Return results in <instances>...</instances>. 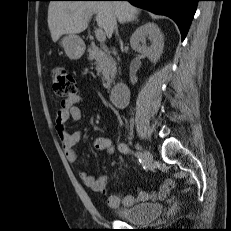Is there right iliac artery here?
<instances>
[{"mask_svg": "<svg viewBox=\"0 0 231 231\" xmlns=\"http://www.w3.org/2000/svg\"><path fill=\"white\" fill-rule=\"evenodd\" d=\"M118 149H119V151H120L121 153H124V154H129V153H131V150H130L129 146H128L127 144H125V143H120V144L118 145ZM136 155H137V157H141L140 152H139V153L137 152ZM146 168H147V166L144 167V169H146Z\"/></svg>", "mask_w": 231, "mask_h": 231, "instance_id": "1", "label": "right iliac artery"}]
</instances>
